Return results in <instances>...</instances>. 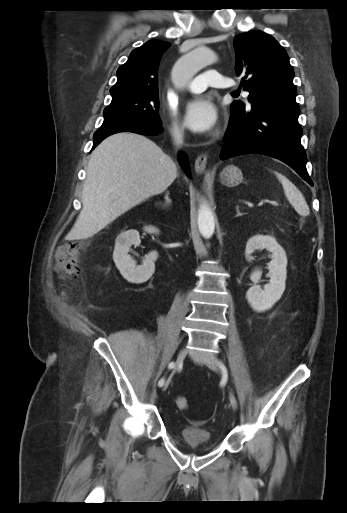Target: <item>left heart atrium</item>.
<instances>
[{
	"label": "left heart atrium",
	"instance_id": "left-heart-atrium-1",
	"mask_svg": "<svg viewBox=\"0 0 347 513\" xmlns=\"http://www.w3.org/2000/svg\"><path fill=\"white\" fill-rule=\"evenodd\" d=\"M218 112L213 101L199 96L188 102L185 109L186 126L197 133L209 132L216 125Z\"/></svg>",
	"mask_w": 347,
	"mask_h": 513
}]
</instances>
